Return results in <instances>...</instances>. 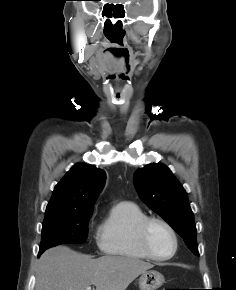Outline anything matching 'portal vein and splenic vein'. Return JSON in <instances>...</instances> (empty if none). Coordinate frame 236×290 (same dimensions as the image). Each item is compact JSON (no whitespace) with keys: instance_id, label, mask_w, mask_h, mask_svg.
I'll use <instances>...</instances> for the list:
<instances>
[{"instance_id":"portal-vein-and-splenic-vein-1","label":"portal vein and splenic vein","mask_w":236,"mask_h":290,"mask_svg":"<svg viewBox=\"0 0 236 290\" xmlns=\"http://www.w3.org/2000/svg\"><path fill=\"white\" fill-rule=\"evenodd\" d=\"M86 290H91V287H87Z\"/></svg>"}]
</instances>
